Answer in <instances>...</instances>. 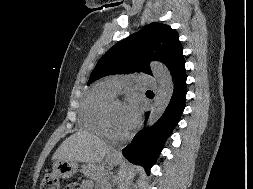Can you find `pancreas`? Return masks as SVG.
<instances>
[{"instance_id":"1","label":"pancreas","mask_w":253,"mask_h":189,"mask_svg":"<svg viewBox=\"0 0 253 189\" xmlns=\"http://www.w3.org/2000/svg\"><path fill=\"white\" fill-rule=\"evenodd\" d=\"M82 173L93 180L104 181L106 179V172L101 166L86 165Z\"/></svg>"}]
</instances>
